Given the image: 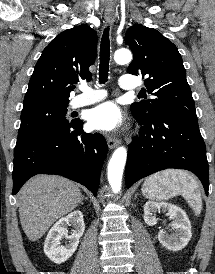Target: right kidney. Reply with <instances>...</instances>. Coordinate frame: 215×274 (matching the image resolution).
<instances>
[{"mask_svg": "<svg viewBox=\"0 0 215 274\" xmlns=\"http://www.w3.org/2000/svg\"><path fill=\"white\" fill-rule=\"evenodd\" d=\"M69 225L74 227L71 235H68L67 227ZM84 230L85 224L81 211H73L66 217L61 218L53 225L46 237L44 252L47 257L56 264L67 261L76 251ZM63 239L68 240V243L61 245Z\"/></svg>", "mask_w": 215, "mask_h": 274, "instance_id": "obj_1", "label": "right kidney"}]
</instances>
